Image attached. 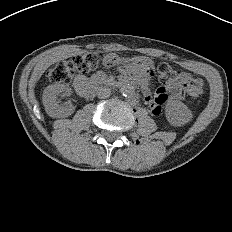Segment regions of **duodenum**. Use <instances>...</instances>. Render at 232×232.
<instances>
[{"mask_svg":"<svg viewBox=\"0 0 232 232\" xmlns=\"http://www.w3.org/2000/svg\"><path fill=\"white\" fill-rule=\"evenodd\" d=\"M125 83H128L130 85L138 86L142 90L146 89V83L143 81H140L139 79L136 78H130L127 80ZM76 90L78 93L84 97V98H91L94 95V86L90 82L83 81L79 83L76 87Z\"/></svg>","mask_w":232,"mask_h":232,"instance_id":"1","label":"duodenum"}]
</instances>
